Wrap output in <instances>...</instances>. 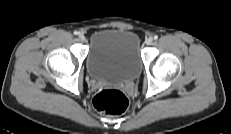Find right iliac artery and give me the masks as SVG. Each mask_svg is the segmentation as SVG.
Instances as JSON below:
<instances>
[{
    "label": "right iliac artery",
    "mask_w": 231,
    "mask_h": 134,
    "mask_svg": "<svg viewBox=\"0 0 231 134\" xmlns=\"http://www.w3.org/2000/svg\"><path fill=\"white\" fill-rule=\"evenodd\" d=\"M78 34V32L77 31H74V35H77Z\"/></svg>",
    "instance_id": "obj_1"
}]
</instances>
